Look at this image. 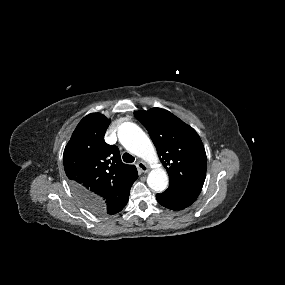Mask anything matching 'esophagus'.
I'll use <instances>...</instances> for the list:
<instances>
[{"instance_id": "1", "label": "esophagus", "mask_w": 285, "mask_h": 285, "mask_svg": "<svg viewBox=\"0 0 285 285\" xmlns=\"http://www.w3.org/2000/svg\"><path fill=\"white\" fill-rule=\"evenodd\" d=\"M136 166L140 172H143V173L148 172V166L143 161H138Z\"/></svg>"}]
</instances>
